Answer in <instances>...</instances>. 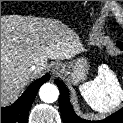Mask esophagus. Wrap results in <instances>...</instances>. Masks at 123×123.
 Returning a JSON list of instances; mask_svg holds the SVG:
<instances>
[{"label": "esophagus", "mask_w": 123, "mask_h": 123, "mask_svg": "<svg viewBox=\"0 0 123 123\" xmlns=\"http://www.w3.org/2000/svg\"><path fill=\"white\" fill-rule=\"evenodd\" d=\"M61 70H62V66L57 63V64H55V65L53 66V68H52V74H53L54 76H55V75H58V74H60Z\"/></svg>", "instance_id": "obj_1"}]
</instances>
